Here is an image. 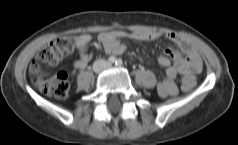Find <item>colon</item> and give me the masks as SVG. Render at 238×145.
Listing matches in <instances>:
<instances>
[{"label":"colon","instance_id":"colon-1","mask_svg":"<svg viewBox=\"0 0 238 145\" xmlns=\"http://www.w3.org/2000/svg\"><path fill=\"white\" fill-rule=\"evenodd\" d=\"M75 46L74 37H61L50 42L43 48L30 66L33 84L42 92L55 98L62 99L69 91L68 76L65 72L46 74L43 66L58 64L62 58L69 54ZM194 86L193 81L183 80L182 88L190 90Z\"/></svg>","mask_w":238,"mask_h":145}]
</instances>
